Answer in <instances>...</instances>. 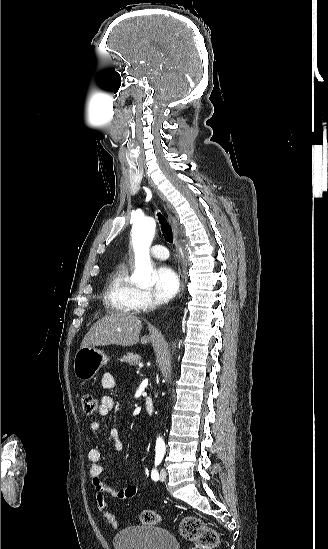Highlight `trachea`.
<instances>
[{
  "label": "trachea",
  "instance_id": "trachea-1",
  "mask_svg": "<svg viewBox=\"0 0 328 549\" xmlns=\"http://www.w3.org/2000/svg\"><path fill=\"white\" fill-rule=\"evenodd\" d=\"M157 215H158V221L160 223L165 240L169 243H172L173 235H172V229L169 223L167 222L166 218L163 215H161L160 213H158Z\"/></svg>",
  "mask_w": 328,
  "mask_h": 549
}]
</instances>
